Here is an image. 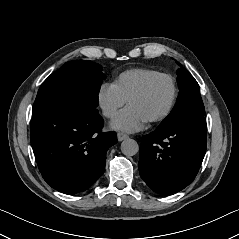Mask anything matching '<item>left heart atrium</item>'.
Here are the masks:
<instances>
[{
  "label": "left heart atrium",
  "mask_w": 239,
  "mask_h": 239,
  "mask_svg": "<svg viewBox=\"0 0 239 239\" xmlns=\"http://www.w3.org/2000/svg\"><path fill=\"white\" fill-rule=\"evenodd\" d=\"M146 121L133 107L127 106L112 120L111 127L125 132H135L141 130Z\"/></svg>",
  "instance_id": "1"
}]
</instances>
